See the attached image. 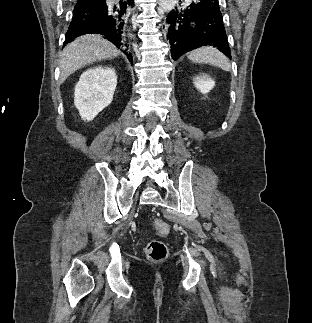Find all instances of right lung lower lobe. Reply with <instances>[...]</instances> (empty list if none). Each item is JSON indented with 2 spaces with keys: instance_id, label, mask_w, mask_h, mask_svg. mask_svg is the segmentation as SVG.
<instances>
[{
  "instance_id": "obj_1",
  "label": "right lung lower lobe",
  "mask_w": 312,
  "mask_h": 323,
  "mask_svg": "<svg viewBox=\"0 0 312 323\" xmlns=\"http://www.w3.org/2000/svg\"><path fill=\"white\" fill-rule=\"evenodd\" d=\"M134 0H77L64 46L85 34H101L120 49L131 62L128 49V15Z\"/></svg>"
}]
</instances>
